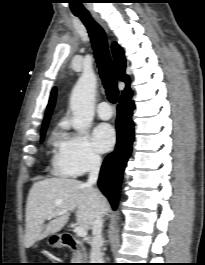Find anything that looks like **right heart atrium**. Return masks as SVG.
Returning <instances> with one entry per match:
<instances>
[{
  "label": "right heart atrium",
  "mask_w": 205,
  "mask_h": 265,
  "mask_svg": "<svg viewBox=\"0 0 205 265\" xmlns=\"http://www.w3.org/2000/svg\"><path fill=\"white\" fill-rule=\"evenodd\" d=\"M101 158L85 132L66 130L58 141L54 170L63 176H80L99 166Z\"/></svg>",
  "instance_id": "right-heart-atrium-1"
}]
</instances>
